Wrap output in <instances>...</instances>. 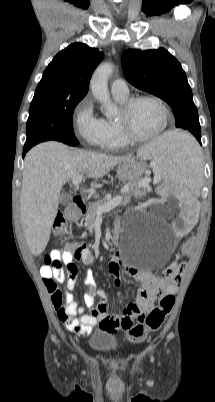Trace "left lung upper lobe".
Segmentation results:
<instances>
[{"mask_svg":"<svg viewBox=\"0 0 215 402\" xmlns=\"http://www.w3.org/2000/svg\"><path fill=\"white\" fill-rule=\"evenodd\" d=\"M126 79L133 86L154 94L173 109L175 125L201 138L197 108L186 74L177 59L164 48L129 49L122 55Z\"/></svg>","mask_w":215,"mask_h":402,"instance_id":"left-lung-upper-lobe-1","label":"left lung upper lobe"}]
</instances>
